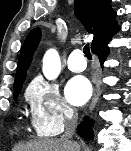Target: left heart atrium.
<instances>
[{
  "instance_id": "1",
  "label": "left heart atrium",
  "mask_w": 131,
  "mask_h": 151,
  "mask_svg": "<svg viewBox=\"0 0 131 151\" xmlns=\"http://www.w3.org/2000/svg\"><path fill=\"white\" fill-rule=\"evenodd\" d=\"M67 100L74 106L85 104L92 94V86L88 79L76 76L69 80L65 89Z\"/></svg>"
}]
</instances>
